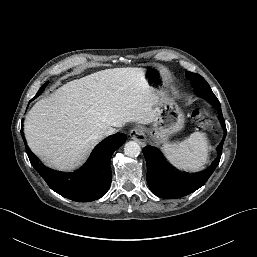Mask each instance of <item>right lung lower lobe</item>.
Returning a JSON list of instances; mask_svg holds the SVG:
<instances>
[{"label":"right lung lower lobe","instance_id":"obj_1","mask_svg":"<svg viewBox=\"0 0 257 257\" xmlns=\"http://www.w3.org/2000/svg\"><path fill=\"white\" fill-rule=\"evenodd\" d=\"M125 141L122 133L107 137L93 149L88 160L73 172L46 167L28 148L26 150L32 166L52 190L73 201L89 202L101 198L108 191L112 180L111 156Z\"/></svg>","mask_w":257,"mask_h":257}]
</instances>
